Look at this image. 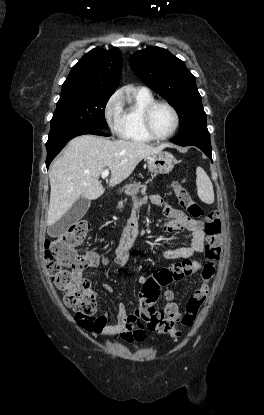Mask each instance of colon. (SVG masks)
I'll return each instance as SVG.
<instances>
[{
    "instance_id": "colon-1",
    "label": "colon",
    "mask_w": 264,
    "mask_h": 415,
    "mask_svg": "<svg viewBox=\"0 0 264 415\" xmlns=\"http://www.w3.org/2000/svg\"><path fill=\"white\" fill-rule=\"evenodd\" d=\"M173 190L180 206L193 218H203L206 247L205 263L201 269V285L188 298L185 309L180 311L172 301L171 294L163 310L156 308L162 288L172 282L191 276L198 268L199 261L185 259L182 262L160 269L148 279L139 293L137 324L141 329L181 335L178 326L191 327L206 300L210 282L214 278L221 254V221L217 211L204 213L193 200L190 192L180 183H173ZM90 225L86 220L75 222L66 232L61 233L52 243L45 246L46 270L58 291H61L65 306L74 311V318L83 327L92 328L95 319L92 315L97 305V293L82 272L102 262L96 253L79 249L88 236ZM139 339L140 337L137 336Z\"/></svg>"
}]
</instances>
